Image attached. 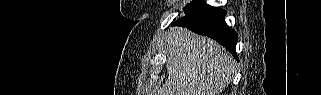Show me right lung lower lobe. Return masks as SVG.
<instances>
[{
  "label": "right lung lower lobe",
  "instance_id": "obj_1",
  "mask_svg": "<svg viewBox=\"0 0 321 95\" xmlns=\"http://www.w3.org/2000/svg\"><path fill=\"white\" fill-rule=\"evenodd\" d=\"M226 11L206 6L197 13L182 17L172 24L187 27L191 31L211 37L224 46L236 59L237 33L225 22Z\"/></svg>",
  "mask_w": 321,
  "mask_h": 95
}]
</instances>
